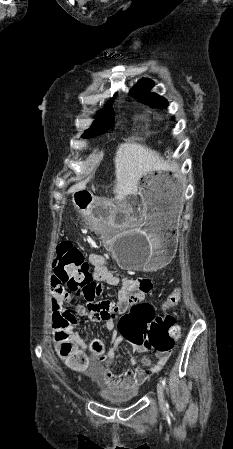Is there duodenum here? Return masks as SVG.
Wrapping results in <instances>:
<instances>
[{
	"label": "duodenum",
	"mask_w": 233,
	"mask_h": 449,
	"mask_svg": "<svg viewBox=\"0 0 233 449\" xmlns=\"http://www.w3.org/2000/svg\"><path fill=\"white\" fill-rule=\"evenodd\" d=\"M74 196V204L76 206H86L89 210L93 208V199L90 197L89 191H76Z\"/></svg>",
	"instance_id": "1"
}]
</instances>
